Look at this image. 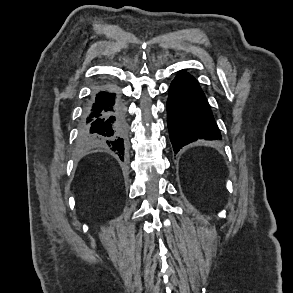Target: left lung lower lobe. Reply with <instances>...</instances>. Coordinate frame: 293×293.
<instances>
[{
    "mask_svg": "<svg viewBox=\"0 0 293 293\" xmlns=\"http://www.w3.org/2000/svg\"><path fill=\"white\" fill-rule=\"evenodd\" d=\"M167 125L174 152L197 139H222L198 81L180 71L169 87Z\"/></svg>",
    "mask_w": 293,
    "mask_h": 293,
    "instance_id": "1",
    "label": "left lung lower lobe"
}]
</instances>
